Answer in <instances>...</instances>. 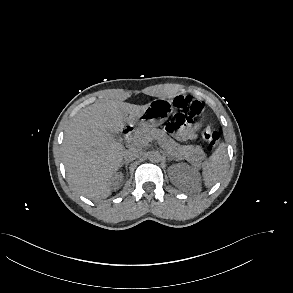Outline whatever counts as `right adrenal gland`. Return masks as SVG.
I'll list each match as a JSON object with an SVG mask.
<instances>
[{"label": "right adrenal gland", "mask_w": 293, "mask_h": 293, "mask_svg": "<svg viewBox=\"0 0 293 293\" xmlns=\"http://www.w3.org/2000/svg\"><path fill=\"white\" fill-rule=\"evenodd\" d=\"M129 161H123L122 163H121V166L120 167H122L123 165H125L126 166V170H128V165H129Z\"/></svg>", "instance_id": "right-adrenal-gland-1"}]
</instances>
